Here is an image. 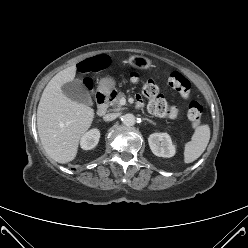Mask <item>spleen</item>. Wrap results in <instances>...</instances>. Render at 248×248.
Returning <instances> with one entry per match:
<instances>
[{
  "label": "spleen",
  "mask_w": 248,
  "mask_h": 248,
  "mask_svg": "<svg viewBox=\"0 0 248 248\" xmlns=\"http://www.w3.org/2000/svg\"><path fill=\"white\" fill-rule=\"evenodd\" d=\"M210 140V127L203 124L195 129L191 141L185 144L184 162L191 163L198 159L205 151Z\"/></svg>",
  "instance_id": "1"
}]
</instances>
